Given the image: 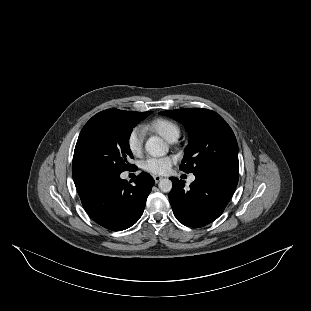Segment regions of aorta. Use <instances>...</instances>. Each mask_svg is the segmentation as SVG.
<instances>
[{
    "mask_svg": "<svg viewBox=\"0 0 311 311\" xmlns=\"http://www.w3.org/2000/svg\"><path fill=\"white\" fill-rule=\"evenodd\" d=\"M145 149L152 157H162L168 153L169 146L160 137L153 136L147 140ZM158 186L162 192H170L172 189V181L165 178L160 181Z\"/></svg>",
    "mask_w": 311,
    "mask_h": 311,
    "instance_id": "762f6f07",
    "label": "aorta"
}]
</instances>
